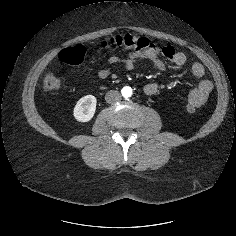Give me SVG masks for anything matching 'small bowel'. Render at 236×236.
Here are the masks:
<instances>
[{"instance_id":"obj_1","label":"small bowel","mask_w":236,"mask_h":236,"mask_svg":"<svg viewBox=\"0 0 236 236\" xmlns=\"http://www.w3.org/2000/svg\"><path fill=\"white\" fill-rule=\"evenodd\" d=\"M163 57L177 66H183L187 62L186 55L177 51L171 45L162 48L152 46L146 51L131 52L124 58L118 56L109 57L107 62L110 67L98 70L96 76L98 79H106L112 74V68L116 66H120L126 71H131L136 68L140 61L147 59L150 60L158 70H164L166 64ZM191 73L197 83L189 92L188 105H191L196 109L207 101L213 90V83L204 78L205 68L199 62H194L191 65ZM157 88L156 83L150 82L144 86V92L145 94L152 96L157 92Z\"/></svg>"}]
</instances>
